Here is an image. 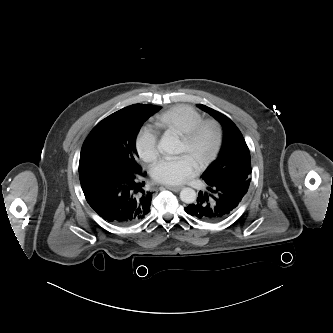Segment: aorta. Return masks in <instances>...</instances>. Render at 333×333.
Segmentation results:
<instances>
[{"label":"aorta","instance_id":"obj_1","mask_svg":"<svg viewBox=\"0 0 333 333\" xmlns=\"http://www.w3.org/2000/svg\"><path fill=\"white\" fill-rule=\"evenodd\" d=\"M158 150L167 154H180L182 152L181 141L175 136L164 135L159 144ZM182 202L192 204L196 201V192L192 188H183L180 192Z\"/></svg>","mask_w":333,"mask_h":333}]
</instances>
